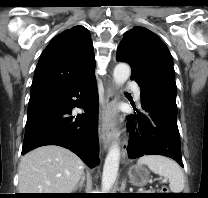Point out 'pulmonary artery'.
Here are the masks:
<instances>
[{
	"label": "pulmonary artery",
	"instance_id": "pulmonary-artery-1",
	"mask_svg": "<svg viewBox=\"0 0 208 198\" xmlns=\"http://www.w3.org/2000/svg\"><path fill=\"white\" fill-rule=\"evenodd\" d=\"M130 88L132 89L133 93H134V97L137 101L140 100V88L134 84V83H129Z\"/></svg>",
	"mask_w": 208,
	"mask_h": 198
}]
</instances>
